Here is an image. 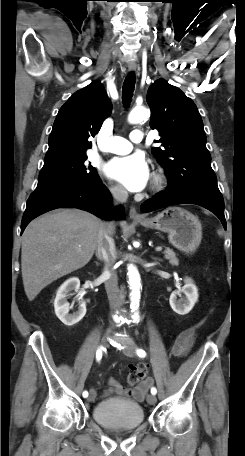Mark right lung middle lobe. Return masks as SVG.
<instances>
[{
  "mask_svg": "<svg viewBox=\"0 0 245 456\" xmlns=\"http://www.w3.org/2000/svg\"><path fill=\"white\" fill-rule=\"evenodd\" d=\"M87 156L64 160L43 166L39 173L35 191H45L71 185L90 184L99 180L95 168L86 164Z\"/></svg>",
  "mask_w": 245,
  "mask_h": 456,
  "instance_id": "right-lung-middle-lobe-1",
  "label": "right lung middle lobe"
}]
</instances>
